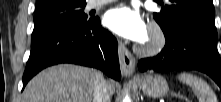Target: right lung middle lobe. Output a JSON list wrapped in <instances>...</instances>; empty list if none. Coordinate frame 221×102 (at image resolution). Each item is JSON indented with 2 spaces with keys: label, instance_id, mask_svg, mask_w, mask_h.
<instances>
[{
  "label": "right lung middle lobe",
  "instance_id": "dd1d6c3e",
  "mask_svg": "<svg viewBox=\"0 0 221 102\" xmlns=\"http://www.w3.org/2000/svg\"><path fill=\"white\" fill-rule=\"evenodd\" d=\"M85 0H47L35 8L32 44L63 26L84 24L92 18L84 13Z\"/></svg>",
  "mask_w": 221,
  "mask_h": 102
}]
</instances>
